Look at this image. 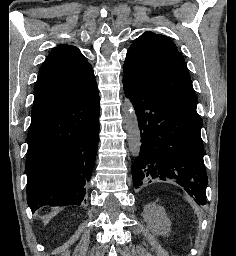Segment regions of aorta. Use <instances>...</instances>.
<instances>
[{"label": "aorta", "mask_w": 236, "mask_h": 256, "mask_svg": "<svg viewBox=\"0 0 236 256\" xmlns=\"http://www.w3.org/2000/svg\"><path fill=\"white\" fill-rule=\"evenodd\" d=\"M122 111L124 116L125 129L127 132L129 151L132 157L136 158L139 156L141 150V134L137 115L129 98L125 97L124 103L122 104Z\"/></svg>", "instance_id": "1"}]
</instances>
